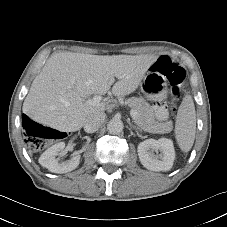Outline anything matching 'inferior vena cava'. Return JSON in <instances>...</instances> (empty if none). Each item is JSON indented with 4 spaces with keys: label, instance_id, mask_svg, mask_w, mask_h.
<instances>
[{
    "label": "inferior vena cava",
    "instance_id": "1",
    "mask_svg": "<svg viewBox=\"0 0 227 227\" xmlns=\"http://www.w3.org/2000/svg\"><path fill=\"white\" fill-rule=\"evenodd\" d=\"M104 112H97L91 116H89L84 123V130L87 133L96 132L103 124L105 120Z\"/></svg>",
    "mask_w": 227,
    "mask_h": 227
}]
</instances>
